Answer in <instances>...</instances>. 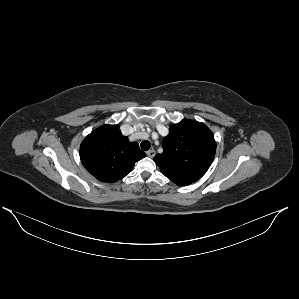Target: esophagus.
I'll return each mask as SVG.
<instances>
[{
  "instance_id": "esophagus-1",
  "label": "esophagus",
  "mask_w": 299,
  "mask_h": 299,
  "mask_svg": "<svg viewBox=\"0 0 299 299\" xmlns=\"http://www.w3.org/2000/svg\"><path fill=\"white\" fill-rule=\"evenodd\" d=\"M146 154H147L148 157L152 158V157L155 156V150H154V149H151V150L147 151Z\"/></svg>"
}]
</instances>
